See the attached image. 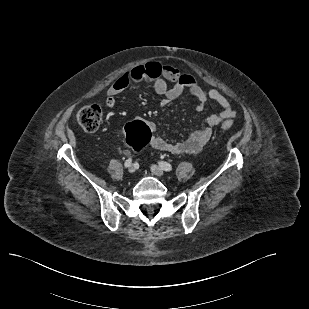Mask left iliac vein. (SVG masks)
<instances>
[{"label":"left iliac vein","instance_id":"4c4485c4","mask_svg":"<svg viewBox=\"0 0 309 309\" xmlns=\"http://www.w3.org/2000/svg\"><path fill=\"white\" fill-rule=\"evenodd\" d=\"M151 172L156 176H163L164 175L163 169L161 167L157 166V165L151 166Z\"/></svg>","mask_w":309,"mask_h":309}]
</instances>
